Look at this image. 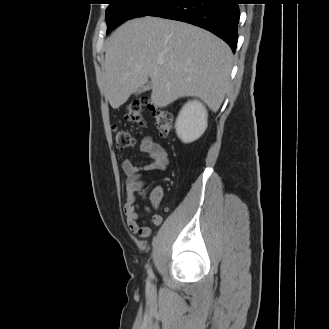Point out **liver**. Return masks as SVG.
I'll list each match as a JSON object with an SVG mask.
<instances>
[{
  "mask_svg": "<svg viewBox=\"0 0 329 329\" xmlns=\"http://www.w3.org/2000/svg\"><path fill=\"white\" fill-rule=\"evenodd\" d=\"M232 62L230 47L204 29L150 16L133 19L106 41L105 96L117 109L150 78L155 106L193 96L216 112L229 87Z\"/></svg>",
  "mask_w": 329,
  "mask_h": 329,
  "instance_id": "6515ba94",
  "label": "liver"
}]
</instances>
